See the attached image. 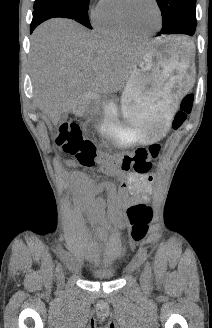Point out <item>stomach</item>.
Returning <instances> with one entry per match:
<instances>
[{
    "mask_svg": "<svg viewBox=\"0 0 212 328\" xmlns=\"http://www.w3.org/2000/svg\"><path fill=\"white\" fill-rule=\"evenodd\" d=\"M192 52L180 41H164L138 61L121 96L108 110V141L119 147L160 140L179 98L194 83Z\"/></svg>",
    "mask_w": 212,
    "mask_h": 328,
    "instance_id": "obj_1",
    "label": "stomach"
}]
</instances>
